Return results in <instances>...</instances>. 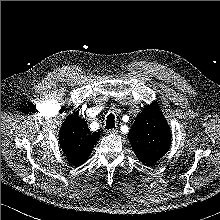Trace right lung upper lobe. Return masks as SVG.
Returning <instances> with one entry per match:
<instances>
[{"mask_svg": "<svg viewBox=\"0 0 220 220\" xmlns=\"http://www.w3.org/2000/svg\"><path fill=\"white\" fill-rule=\"evenodd\" d=\"M99 138L100 133L91 132L85 119L77 111L66 118L59 132L62 150L74 166H79L88 159Z\"/></svg>", "mask_w": 220, "mask_h": 220, "instance_id": "cb5924a9", "label": "right lung upper lobe"}]
</instances>
